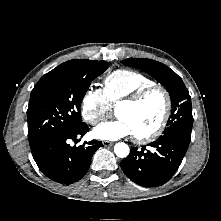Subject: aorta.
I'll use <instances>...</instances> for the list:
<instances>
[{
  "instance_id": "1",
  "label": "aorta",
  "mask_w": 221,
  "mask_h": 221,
  "mask_svg": "<svg viewBox=\"0 0 221 221\" xmlns=\"http://www.w3.org/2000/svg\"><path fill=\"white\" fill-rule=\"evenodd\" d=\"M129 151H130L129 146L126 143L121 142V143H117L114 146V152L120 158L127 157L129 154Z\"/></svg>"
}]
</instances>
